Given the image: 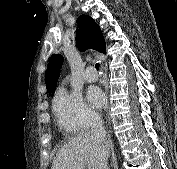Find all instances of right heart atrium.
<instances>
[{
  "label": "right heart atrium",
  "instance_id": "obj_1",
  "mask_svg": "<svg viewBox=\"0 0 177 169\" xmlns=\"http://www.w3.org/2000/svg\"><path fill=\"white\" fill-rule=\"evenodd\" d=\"M53 111L59 128L67 134L78 133L98 119L79 93L63 87L54 96Z\"/></svg>",
  "mask_w": 177,
  "mask_h": 169
}]
</instances>
